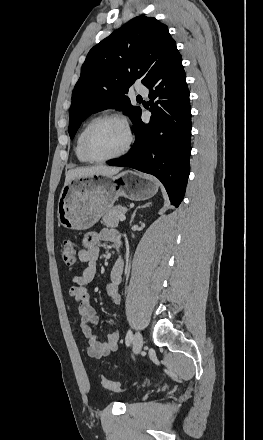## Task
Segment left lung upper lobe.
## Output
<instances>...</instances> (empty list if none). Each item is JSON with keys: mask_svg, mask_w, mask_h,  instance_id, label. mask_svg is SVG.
<instances>
[{"mask_svg": "<svg viewBox=\"0 0 263 440\" xmlns=\"http://www.w3.org/2000/svg\"><path fill=\"white\" fill-rule=\"evenodd\" d=\"M165 24L138 16L94 46L88 53L72 93L69 135L82 121L106 108L122 110L132 120L141 112L125 95L140 79L146 86L177 54Z\"/></svg>", "mask_w": 263, "mask_h": 440, "instance_id": "left-lung-upper-lobe-1", "label": "left lung upper lobe"}]
</instances>
